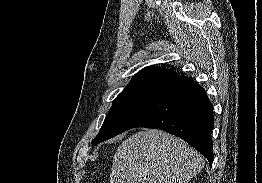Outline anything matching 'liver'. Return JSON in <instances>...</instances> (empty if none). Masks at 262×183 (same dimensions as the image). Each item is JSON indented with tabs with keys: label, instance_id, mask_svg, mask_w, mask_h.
<instances>
[{
	"label": "liver",
	"instance_id": "6515ba94",
	"mask_svg": "<svg viewBox=\"0 0 262 183\" xmlns=\"http://www.w3.org/2000/svg\"><path fill=\"white\" fill-rule=\"evenodd\" d=\"M203 166L202 155L184 140L147 129L119 145L110 183H187Z\"/></svg>",
	"mask_w": 262,
	"mask_h": 183
}]
</instances>
